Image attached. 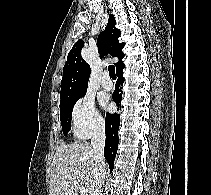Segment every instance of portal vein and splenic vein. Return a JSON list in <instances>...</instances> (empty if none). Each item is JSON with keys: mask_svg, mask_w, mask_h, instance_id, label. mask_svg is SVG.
Instances as JSON below:
<instances>
[{"mask_svg": "<svg viewBox=\"0 0 211 195\" xmlns=\"http://www.w3.org/2000/svg\"><path fill=\"white\" fill-rule=\"evenodd\" d=\"M79 192H80V195H86V191L83 187H80Z\"/></svg>", "mask_w": 211, "mask_h": 195, "instance_id": "portal-vein-and-splenic-vein-1", "label": "portal vein and splenic vein"}]
</instances>
